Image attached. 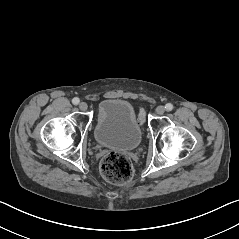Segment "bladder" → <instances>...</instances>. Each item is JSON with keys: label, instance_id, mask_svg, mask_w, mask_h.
I'll return each mask as SVG.
<instances>
[{"label": "bladder", "instance_id": "31cf9c89", "mask_svg": "<svg viewBox=\"0 0 239 239\" xmlns=\"http://www.w3.org/2000/svg\"><path fill=\"white\" fill-rule=\"evenodd\" d=\"M94 138L106 148L136 150L142 142V129L133 105L119 98L103 100L98 107Z\"/></svg>", "mask_w": 239, "mask_h": 239}]
</instances>
